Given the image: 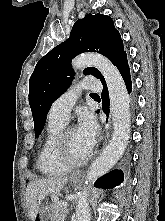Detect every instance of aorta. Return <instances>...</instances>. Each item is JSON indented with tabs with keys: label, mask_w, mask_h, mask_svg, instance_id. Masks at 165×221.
<instances>
[{
	"label": "aorta",
	"mask_w": 165,
	"mask_h": 221,
	"mask_svg": "<svg viewBox=\"0 0 165 221\" xmlns=\"http://www.w3.org/2000/svg\"><path fill=\"white\" fill-rule=\"evenodd\" d=\"M72 66L75 69L86 66L96 67L105 78L110 98L113 122L112 139L101 155L91 164L85 182L88 185L108 172L122 157L130 134V102L119 70L106 57L99 54H83L72 61ZM88 188L89 186L79 194L75 221H90Z\"/></svg>",
	"instance_id": "762f6f07"
}]
</instances>
